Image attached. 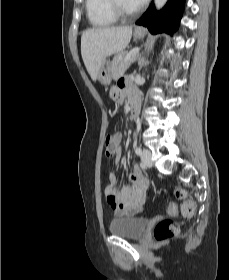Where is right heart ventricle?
Returning a JSON list of instances; mask_svg holds the SVG:
<instances>
[{
    "instance_id": "obj_1",
    "label": "right heart ventricle",
    "mask_w": 229,
    "mask_h": 280,
    "mask_svg": "<svg viewBox=\"0 0 229 280\" xmlns=\"http://www.w3.org/2000/svg\"><path fill=\"white\" fill-rule=\"evenodd\" d=\"M108 0H85V12L89 24L95 28H108L116 24L117 18L108 8Z\"/></svg>"
}]
</instances>
